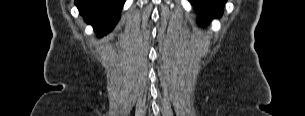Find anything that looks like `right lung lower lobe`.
I'll use <instances>...</instances> for the list:
<instances>
[{
  "instance_id": "1",
  "label": "right lung lower lobe",
  "mask_w": 305,
  "mask_h": 116,
  "mask_svg": "<svg viewBox=\"0 0 305 116\" xmlns=\"http://www.w3.org/2000/svg\"><path fill=\"white\" fill-rule=\"evenodd\" d=\"M125 0H75L80 14L99 36L113 29Z\"/></svg>"
}]
</instances>
